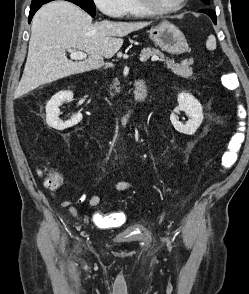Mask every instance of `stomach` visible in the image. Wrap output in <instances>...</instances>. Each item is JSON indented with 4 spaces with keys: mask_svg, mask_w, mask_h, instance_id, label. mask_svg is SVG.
Listing matches in <instances>:
<instances>
[{
    "mask_svg": "<svg viewBox=\"0 0 249 294\" xmlns=\"http://www.w3.org/2000/svg\"><path fill=\"white\" fill-rule=\"evenodd\" d=\"M149 37L161 49L171 54H182L187 51V40L182 31L169 21H161L148 31Z\"/></svg>",
    "mask_w": 249,
    "mask_h": 294,
    "instance_id": "obj_1",
    "label": "stomach"
}]
</instances>
